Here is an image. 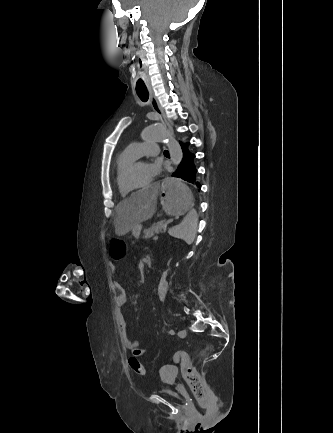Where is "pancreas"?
<instances>
[{
	"instance_id": "obj_1",
	"label": "pancreas",
	"mask_w": 333,
	"mask_h": 433,
	"mask_svg": "<svg viewBox=\"0 0 333 433\" xmlns=\"http://www.w3.org/2000/svg\"><path fill=\"white\" fill-rule=\"evenodd\" d=\"M164 225H167L166 220H161L157 223L152 224L149 228L144 230L143 238L148 240L150 238L157 237V234H159L162 231V227Z\"/></svg>"
}]
</instances>
